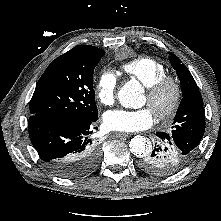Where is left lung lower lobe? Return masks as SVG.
<instances>
[{"mask_svg": "<svg viewBox=\"0 0 221 221\" xmlns=\"http://www.w3.org/2000/svg\"><path fill=\"white\" fill-rule=\"evenodd\" d=\"M158 142L154 149L141 156L138 166L144 172L154 176H169L182 170L192 157L185 155L175 139L166 132H156Z\"/></svg>", "mask_w": 221, "mask_h": 221, "instance_id": "1", "label": "left lung lower lobe"}]
</instances>
